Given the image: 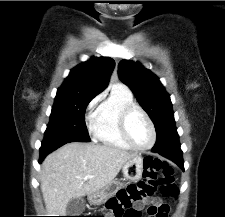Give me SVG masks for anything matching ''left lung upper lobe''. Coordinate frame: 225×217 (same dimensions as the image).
I'll return each mask as SVG.
<instances>
[{"label":"left lung upper lobe","instance_id":"1","mask_svg":"<svg viewBox=\"0 0 225 217\" xmlns=\"http://www.w3.org/2000/svg\"><path fill=\"white\" fill-rule=\"evenodd\" d=\"M118 74L154 123L157 140L152 149L179 143L170 96L159 79L140 63L129 60L120 61Z\"/></svg>","mask_w":225,"mask_h":217}]
</instances>
